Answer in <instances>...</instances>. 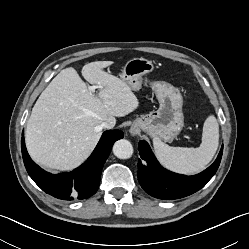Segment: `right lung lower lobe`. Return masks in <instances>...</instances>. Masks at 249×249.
Returning a JSON list of instances; mask_svg holds the SVG:
<instances>
[{
	"mask_svg": "<svg viewBox=\"0 0 249 249\" xmlns=\"http://www.w3.org/2000/svg\"><path fill=\"white\" fill-rule=\"evenodd\" d=\"M120 130L103 133L91 156L69 173L50 174L35 164L27 153L22 133L21 149L29 176L46 193L63 200L86 199L98 190L101 171L115 141L123 138Z\"/></svg>",
	"mask_w": 249,
	"mask_h": 249,
	"instance_id": "98d812e1",
	"label": "right lung lower lobe"
}]
</instances>
